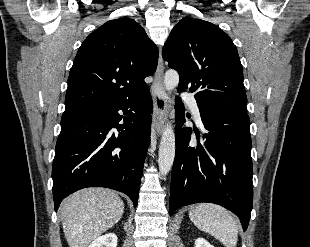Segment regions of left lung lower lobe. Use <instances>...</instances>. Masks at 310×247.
I'll list each match as a JSON object with an SVG mask.
<instances>
[{"mask_svg": "<svg viewBox=\"0 0 310 247\" xmlns=\"http://www.w3.org/2000/svg\"><path fill=\"white\" fill-rule=\"evenodd\" d=\"M176 101V123H184L183 104ZM198 107L208 132L204 141H193L191 129L175 130L169 213L193 203H215L235 213L245 231L253 203L249 117L230 109ZM195 133L199 137V131Z\"/></svg>", "mask_w": 310, "mask_h": 247, "instance_id": "0a47b994", "label": "left lung lower lobe"}]
</instances>
